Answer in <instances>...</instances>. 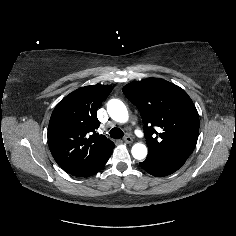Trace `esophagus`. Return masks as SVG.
<instances>
[{"label": "esophagus", "instance_id": "34e87169", "mask_svg": "<svg viewBox=\"0 0 236 236\" xmlns=\"http://www.w3.org/2000/svg\"><path fill=\"white\" fill-rule=\"evenodd\" d=\"M126 143H132L133 142V139H132V137H130V136H126V137H124V139H123Z\"/></svg>", "mask_w": 236, "mask_h": 236}]
</instances>
